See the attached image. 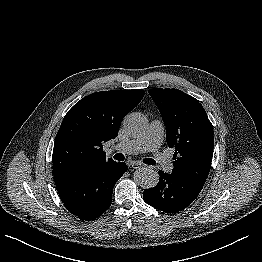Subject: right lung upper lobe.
I'll return each mask as SVG.
<instances>
[{
  "mask_svg": "<svg viewBox=\"0 0 262 262\" xmlns=\"http://www.w3.org/2000/svg\"><path fill=\"white\" fill-rule=\"evenodd\" d=\"M144 90L95 92L78 101L65 115L53 149L54 174H69L114 163L103 143L118 135L126 114L142 100Z\"/></svg>",
  "mask_w": 262,
  "mask_h": 262,
  "instance_id": "right-lung-upper-lobe-1",
  "label": "right lung upper lobe"
}]
</instances>
